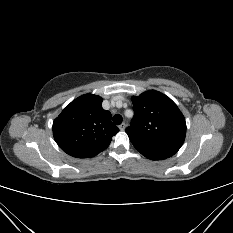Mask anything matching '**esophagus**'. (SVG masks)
Returning <instances> with one entry per match:
<instances>
[{"instance_id": "34e87169", "label": "esophagus", "mask_w": 233, "mask_h": 233, "mask_svg": "<svg viewBox=\"0 0 233 233\" xmlns=\"http://www.w3.org/2000/svg\"><path fill=\"white\" fill-rule=\"evenodd\" d=\"M125 128H126V124H125V123H122V124L119 125V129H120L121 131H124Z\"/></svg>"}]
</instances>
